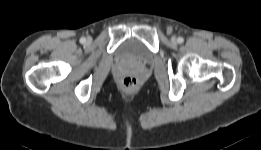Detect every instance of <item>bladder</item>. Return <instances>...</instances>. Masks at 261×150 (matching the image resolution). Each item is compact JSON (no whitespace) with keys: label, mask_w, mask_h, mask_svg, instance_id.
<instances>
[{"label":"bladder","mask_w":261,"mask_h":150,"mask_svg":"<svg viewBox=\"0 0 261 150\" xmlns=\"http://www.w3.org/2000/svg\"><path fill=\"white\" fill-rule=\"evenodd\" d=\"M117 57L125 62L149 64L153 61L152 51L139 40L130 38L122 42L116 51Z\"/></svg>","instance_id":"obj_1"}]
</instances>
